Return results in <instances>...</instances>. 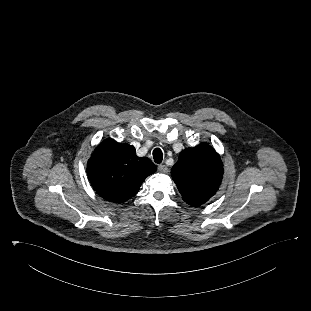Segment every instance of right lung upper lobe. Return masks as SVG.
I'll return each mask as SVG.
<instances>
[{"instance_id":"obj_1","label":"right lung upper lobe","mask_w":311,"mask_h":311,"mask_svg":"<svg viewBox=\"0 0 311 311\" xmlns=\"http://www.w3.org/2000/svg\"><path fill=\"white\" fill-rule=\"evenodd\" d=\"M147 157H138L129 144L106 139L94 150L87 165L88 180L105 200L122 203L137 194L145 178L156 172Z\"/></svg>"}]
</instances>
